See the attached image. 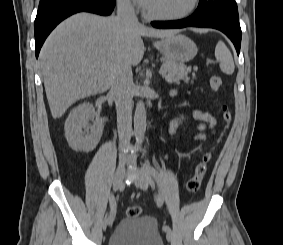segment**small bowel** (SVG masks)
<instances>
[{"instance_id": "c3829d8e", "label": "small bowel", "mask_w": 283, "mask_h": 245, "mask_svg": "<svg viewBox=\"0 0 283 245\" xmlns=\"http://www.w3.org/2000/svg\"><path fill=\"white\" fill-rule=\"evenodd\" d=\"M193 118L197 121L195 139L198 141H206L210 135L215 133L216 119L209 112L196 109L193 111ZM179 126L178 120L173 119L168 126V134L174 136Z\"/></svg>"}]
</instances>
